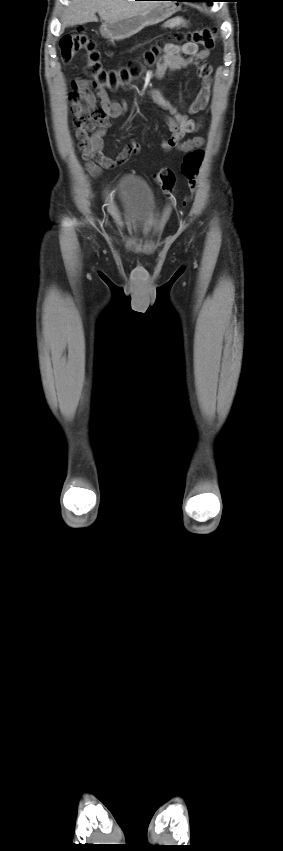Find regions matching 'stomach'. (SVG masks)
I'll use <instances>...</instances> for the list:
<instances>
[{
  "mask_svg": "<svg viewBox=\"0 0 283 851\" xmlns=\"http://www.w3.org/2000/svg\"><path fill=\"white\" fill-rule=\"evenodd\" d=\"M179 9L180 4L178 2H159L155 6L132 17L103 23L100 32L103 36L112 40H123L135 35L146 26L164 21Z\"/></svg>",
  "mask_w": 283,
  "mask_h": 851,
  "instance_id": "0dacf381",
  "label": "stomach"
}]
</instances>
